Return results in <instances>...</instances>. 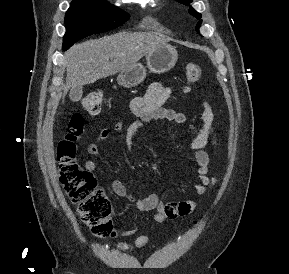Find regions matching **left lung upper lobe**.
I'll list each match as a JSON object with an SVG mask.
<instances>
[{
  "label": "left lung upper lobe",
  "mask_w": 289,
  "mask_h": 274,
  "mask_svg": "<svg viewBox=\"0 0 289 274\" xmlns=\"http://www.w3.org/2000/svg\"><path fill=\"white\" fill-rule=\"evenodd\" d=\"M177 1L184 4V5H187V6L192 2V0H177ZM189 13L191 15L195 16L197 19L201 18V14L196 12L192 7H190V9H189ZM200 24H201V21L197 24V27H196L197 30H198Z\"/></svg>",
  "instance_id": "5c2ea615"
}]
</instances>
